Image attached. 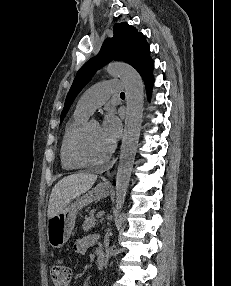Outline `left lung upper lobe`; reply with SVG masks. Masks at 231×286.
Listing matches in <instances>:
<instances>
[{"mask_svg":"<svg viewBox=\"0 0 231 286\" xmlns=\"http://www.w3.org/2000/svg\"><path fill=\"white\" fill-rule=\"evenodd\" d=\"M149 54V46L142 33H138L125 22L115 24L113 38L106 39L98 55L87 61L78 71L67 95L60 121H63L77 94L101 66L112 60H122L139 72L151 61Z\"/></svg>","mask_w":231,"mask_h":286,"instance_id":"5c2ea615","label":"left lung upper lobe"}]
</instances>
